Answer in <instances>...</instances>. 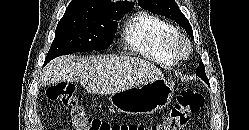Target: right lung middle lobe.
<instances>
[{"mask_svg": "<svg viewBox=\"0 0 249 130\" xmlns=\"http://www.w3.org/2000/svg\"><path fill=\"white\" fill-rule=\"evenodd\" d=\"M133 6L109 5L92 12L66 10L57 25L45 64L65 54L106 49L112 43L117 20Z\"/></svg>", "mask_w": 249, "mask_h": 130, "instance_id": "obj_1", "label": "right lung middle lobe"}]
</instances>
